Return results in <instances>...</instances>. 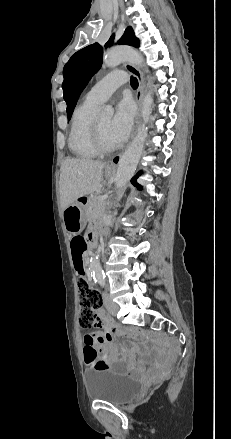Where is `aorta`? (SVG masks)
Masks as SVG:
<instances>
[{
	"label": "aorta",
	"mask_w": 231,
	"mask_h": 439,
	"mask_svg": "<svg viewBox=\"0 0 231 439\" xmlns=\"http://www.w3.org/2000/svg\"><path fill=\"white\" fill-rule=\"evenodd\" d=\"M124 61H131L137 65H143L144 63L142 55L129 47H117L110 50L104 57L103 62L106 67L112 68ZM152 104L153 97L151 91H149L145 95L142 104L143 123L138 128L136 136L119 161L115 179L116 188L125 186L136 171L139 159L143 152L144 141L148 135L146 123H148L150 119ZM102 113L105 116L110 117L113 115V109L107 106L103 109ZM90 270L94 277H102V267L98 255H93V257H91Z\"/></svg>",
	"instance_id": "762f6f07"
}]
</instances>
